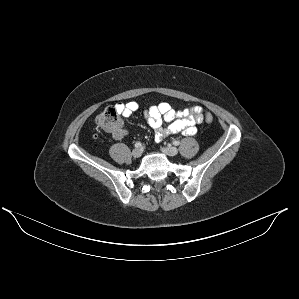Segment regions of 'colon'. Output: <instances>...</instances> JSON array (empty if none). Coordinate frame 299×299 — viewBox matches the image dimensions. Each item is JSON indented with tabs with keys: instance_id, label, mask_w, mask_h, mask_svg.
Masks as SVG:
<instances>
[{
	"instance_id": "5ec220e1",
	"label": "colon",
	"mask_w": 299,
	"mask_h": 299,
	"mask_svg": "<svg viewBox=\"0 0 299 299\" xmlns=\"http://www.w3.org/2000/svg\"><path fill=\"white\" fill-rule=\"evenodd\" d=\"M204 118L208 123L213 122V116L211 113H205ZM95 122L99 129L111 134L117 133L122 129L120 113L115 107H108L103 110L97 116Z\"/></svg>"
}]
</instances>
